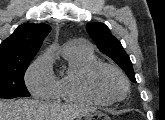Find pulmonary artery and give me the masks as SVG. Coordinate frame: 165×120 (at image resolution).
<instances>
[{
  "label": "pulmonary artery",
  "instance_id": "e3ab8cb5",
  "mask_svg": "<svg viewBox=\"0 0 165 120\" xmlns=\"http://www.w3.org/2000/svg\"><path fill=\"white\" fill-rule=\"evenodd\" d=\"M65 48H89L88 45L81 40H73L66 44Z\"/></svg>",
  "mask_w": 165,
  "mask_h": 120
}]
</instances>
